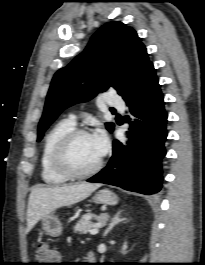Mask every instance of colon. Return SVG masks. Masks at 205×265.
<instances>
[{
	"instance_id": "obj_1",
	"label": "colon",
	"mask_w": 205,
	"mask_h": 265,
	"mask_svg": "<svg viewBox=\"0 0 205 265\" xmlns=\"http://www.w3.org/2000/svg\"><path fill=\"white\" fill-rule=\"evenodd\" d=\"M36 258L39 265H57L60 254L55 248L42 244L36 249Z\"/></svg>"
}]
</instances>
